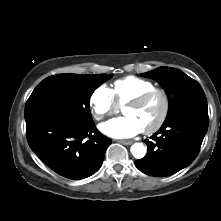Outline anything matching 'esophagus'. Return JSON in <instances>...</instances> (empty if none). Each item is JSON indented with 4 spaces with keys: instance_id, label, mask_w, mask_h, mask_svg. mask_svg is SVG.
Listing matches in <instances>:
<instances>
[{
    "instance_id": "obj_1",
    "label": "esophagus",
    "mask_w": 221,
    "mask_h": 221,
    "mask_svg": "<svg viewBox=\"0 0 221 221\" xmlns=\"http://www.w3.org/2000/svg\"><path fill=\"white\" fill-rule=\"evenodd\" d=\"M118 142L123 145H131L133 143L131 140H119Z\"/></svg>"
}]
</instances>
